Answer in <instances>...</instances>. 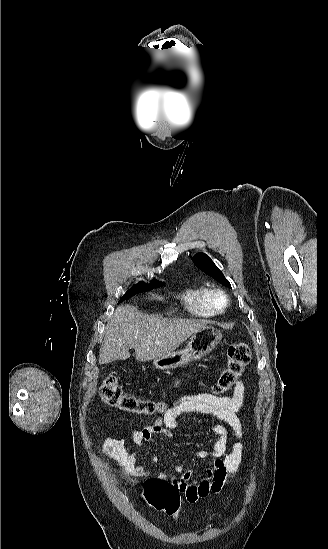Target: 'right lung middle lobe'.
I'll list each match as a JSON object with an SVG mask.
<instances>
[{"label": "right lung middle lobe", "mask_w": 328, "mask_h": 549, "mask_svg": "<svg viewBox=\"0 0 328 549\" xmlns=\"http://www.w3.org/2000/svg\"><path fill=\"white\" fill-rule=\"evenodd\" d=\"M163 283L162 282H159L157 280H153V282L151 284H146L145 282L141 281L139 282L138 284L134 285L130 290H128L123 297H121L120 302L134 296L135 294H138V293H141V292H145V291H149L151 289H153L154 287H159L161 286Z\"/></svg>", "instance_id": "right-lung-middle-lobe-1"}]
</instances>
